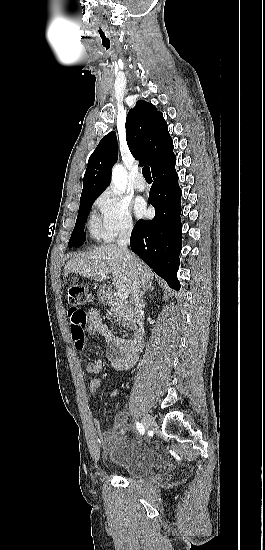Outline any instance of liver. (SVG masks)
<instances>
[{"instance_id": "obj_1", "label": "liver", "mask_w": 265, "mask_h": 550, "mask_svg": "<svg viewBox=\"0 0 265 550\" xmlns=\"http://www.w3.org/2000/svg\"><path fill=\"white\" fill-rule=\"evenodd\" d=\"M132 265L126 260L123 251L114 244L102 245L93 250L75 255L67 261L64 267V276L69 273H77L83 277L101 282L102 278L97 273L111 274L113 285L118 290H124L132 294L133 273L144 287L153 279L151 269L136 255L132 254Z\"/></svg>"}]
</instances>
